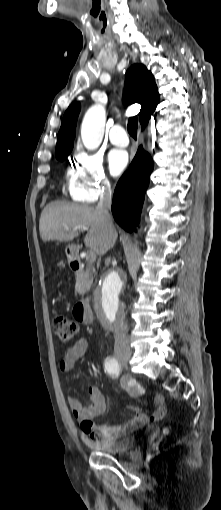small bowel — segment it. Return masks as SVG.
I'll list each match as a JSON object with an SVG mask.
<instances>
[{
  "instance_id": "obj_1",
  "label": "small bowel",
  "mask_w": 221,
  "mask_h": 510,
  "mask_svg": "<svg viewBox=\"0 0 221 510\" xmlns=\"http://www.w3.org/2000/svg\"><path fill=\"white\" fill-rule=\"evenodd\" d=\"M87 347L85 339H77L64 352L59 361V369L64 373L72 371L75 362L86 353ZM87 393L90 400L89 405L83 406L77 398L70 395L67 396V404L73 416L81 423L84 435L95 441L100 437L99 442L117 440L120 436L132 432L150 421L159 420L166 412L165 398L159 394L156 395L150 411L131 406L130 408L135 412V416L128 422H96L94 421L96 418L106 413V400L101 390L95 385H90Z\"/></svg>"
}]
</instances>
